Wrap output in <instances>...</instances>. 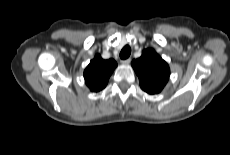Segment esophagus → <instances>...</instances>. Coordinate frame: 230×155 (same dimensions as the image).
Returning a JSON list of instances; mask_svg holds the SVG:
<instances>
[{
    "label": "esophagus",
    "instance_id": "1",
    "mask_svg": "<svg viewBox=\"0 0 230 155\" xmlns=\"http://www.w3.org/2000/svg\"><path fill=\"white\" fill-rule=\"evenodd\" d=\"M130 62H131L130 58L121 61L123 65H128Z\"/></svg>",
    "mask_w": 230,
    "mask_h": 155
}]
</instances>
